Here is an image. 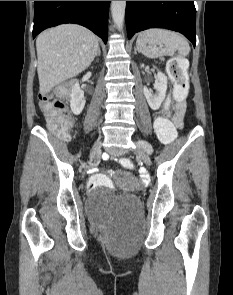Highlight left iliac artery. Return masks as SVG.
Masks as SVG:
<instances>
[{"instance_id": "obj_1", "label": "left iliac artery", "mask_w": 233, "mask_h": 295, "mask_svg": "<svg viewBox=\"0 0 233 295\" xmlns=\"http://www.w3.org/2000/svg\"><path fill=\"white\" fill-rule=\"evenodd\" d=\"M142 148H144L145 151L148 153H151L153 151V146L150 145V143L147 140H143L140 144Z\"/></svg>"}]
</instances>
